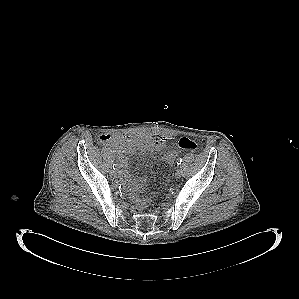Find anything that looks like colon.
Returning a JSON list of instances; mask_svg holds the SVG:
<instances>
[{
	"label": "colon",
	"mask_w": 299,
	"mask_h": 299,
	"mask_svg": "<svg viewBox=\"0 0 299 299\" xmlns=\"http://www.w3.org/2000/svg\"><path fill=\"white\" fill-rule=\"evenodd\" d=\"M178 146L183 150H188V151L197 150V143L189 137H182L178 142ZM148 203H149L148 199H144L142 201L143 205H147Z\"/></svg>",
	"instance_id": "1"
}]
</instances>
